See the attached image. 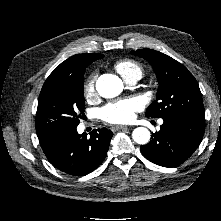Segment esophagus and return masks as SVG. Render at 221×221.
Listing matches in <instances>:
<instances>
[{
	"mask_svg": "<svg viewBox=\"0 0 221 221\" xmlns=\"http://www.w3.org/2000/svg\"><path fill=\"white\" fill-rule=\"evenodd\" d=\"M129 127L127 126H113L112 131H118V130H128Z\"/></svg>",
	"mask_w": 221,
	"mask_h": 221,
	"instance_id": "esophagus-1",
	"label": "esophagus"
}]
</instances>
